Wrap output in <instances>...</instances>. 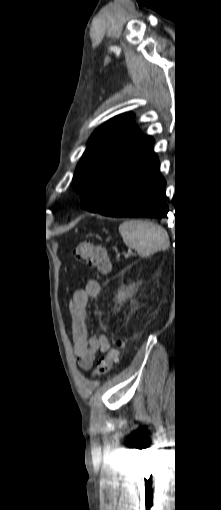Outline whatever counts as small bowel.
Here are the masks:
<instances>
[{
	"label": "small bowel",
	"mask_w": 221,
	"mask_h": 510,
	"mask_svg": "<svg viewBox=\"0 0 221 510\" xmlns=\"http://www.w3.org/2000/svg\"><path fill=\"white\" fill-rule=\"evenodd\" d=\"M100 293V284L88 279L84 288L74 292L69 304L71 327L74 341V354L82 369H90L100 352L110 349V341L105 335L89 336L87 306L89 298Z\"/></svg>",
	"instance_id": "obj_1"
}]
</instances>
